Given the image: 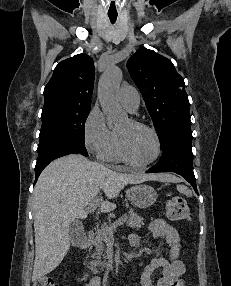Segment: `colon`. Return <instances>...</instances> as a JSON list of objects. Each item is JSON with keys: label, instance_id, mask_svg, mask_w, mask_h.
Here are the masks:
<instances>
[{"label": "colon", "instance_id": "colon-1", "mask_svg": "<svg viewBox=\"0 0 231 286\" xmlns=\"http://www.w3.org/2000/svg\"><path fill=\"white\" fill-rule=\"evenodd\" d=\"M165 213L171 220L190 221L192 219V212L187 202L179 196H171L165 202ZM34 286H58V284L51 277L39 278Z\"/></svg>", "mask_w": 231, "mask_h": 286}]
</instances>
